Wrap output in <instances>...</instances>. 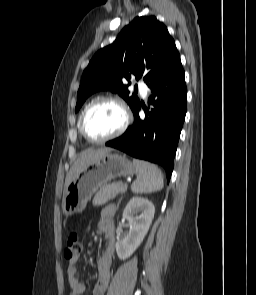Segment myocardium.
I'll use <instances>...</instances> for the list:
<instances>
[{"label":"myocardium","instance_id":"myocardium-1","mask_svg":"<svg viewBox=\"0 0 256 295\" xmlns=\"http://www.w3.org/2000/svg\"><path fill=\"white\" fill-rule=\"evenodd\" d=\"M102 103H112V104L116 105L122 111L123 123L120 126V128L116 132H114L113 134H111L107 137H104V138H94L88 133V131L86 129V121H87V117H88L89 113L95 107H97L98 105H100ZM130 119H131L130 112L127 109V107L125 106V104L120 99L112 97V96H103V97L97 98L94 101H92L90 103V105L85 109V111L82 115V118H81L80 130H81L83 137L87 141H89L91 143L101 144V143H105L110 140H113V139L119 137L120 135H122L125 132V130L127 129L128 125L130 123Z\"/></svg>","mask_w":256,"mask_h":295}]
</instances>
